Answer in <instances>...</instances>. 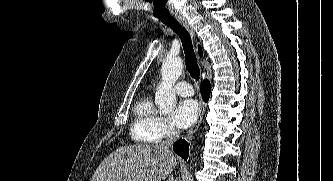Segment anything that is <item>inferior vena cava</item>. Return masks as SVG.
Masks as SVG:
<instances>
[{
    "label": "inferior vena cava",
    "mask_w": 333,
    "mask_h": 181,
    "mask_svg": "<svg viewBox=\"0 0 333 181\" xmlns=\"http://www.w3.org/2000/svg\"><path fill=\"white\" fill-rule=\"evenodd\" d=\"M180 130L178 128H174L170 136L161 144V146L169 150V147L173 146L174 142L179 138L180 136ZM169 181H174L173 176L171 175L169 178Z\"/></svg>",
    "instance_id": "1"
}]
</instances>
